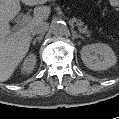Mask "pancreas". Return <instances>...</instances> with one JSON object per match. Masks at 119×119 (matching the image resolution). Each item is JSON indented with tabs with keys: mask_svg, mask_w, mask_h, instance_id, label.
I'll list each match as a JSON object with an SVG mask.
<instances>
[{
	"mask_svg": "<svg viewBox=\"0 0 119 119\" xmlns=\"http://www.w3.org/2000/svg\"><path fill=\"white\" fill-rule=\"evenodd\" d=\"M77 26H78V30L79 32L83 33V34H86L88 37L91 36V33L88 31V28L86 25H84L83 22H77Z\"/></svg>",
	"mask_w": 119,
	"mask_h": 119,
	"instance_id": "obj_1",
	"label": "pancreas"
}]
</instances>
